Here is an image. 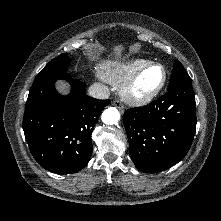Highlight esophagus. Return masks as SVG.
I'll list each match as a JSON object with an SVG mask.
<instances>
[{
	"mask_svg": "<svg viewBox=\"0 0 221 221\" xmlns=\"http://www.w3.org/2000/svg\"><path fill=\"white\" fill-rule=\"evenodd\" d=\"M113 105L117 107L120 110V112L122 113L124 112V105L122 104L120 100H114Z\"/></svg>",
	"mask_w": 221,
	"mask_h": 221,
	"instance_id": "34e87169",
	"label": "esophagus"
}]
</instances>
